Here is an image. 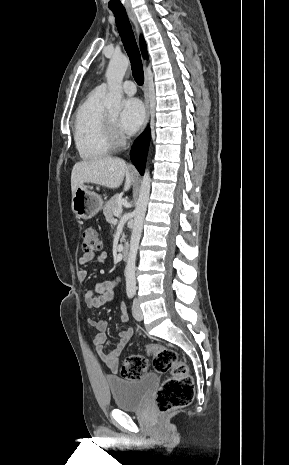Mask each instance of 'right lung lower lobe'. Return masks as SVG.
I'll return each mask as SVG.
<instances>
[{
  "instance_id": "98d812e1",
  "label": "right lung lower lobe",
  "mask_w": 289,
  "mask_h": 465,
  "mask_svg": "<svg viewBox=\"0 0 289 465\" xmlns=\"http://www.w3.org/2000/svg\"><path fill=\"white\" fill-rule=\"evenodd\" d=\"M149 142L150 131L149 129H147L137 139L130 153L132 162L134 163L141 175H143L145 170Z\"/></svg>"
}]
</instances>
